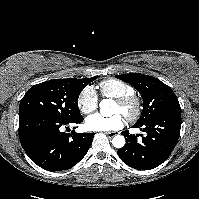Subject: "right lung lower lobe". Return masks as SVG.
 Returning a JSON list of instances; mask_svg holds the SVG:
<instances>
[{"label": "right lung lower lobe", "mask_w": 199, "mask_h": 199, "mask_svg": "<svg viewBox=\"0 0 199 199\" xmlns=\"http://www.w3.org/2000/svg\"><path fill=\"white\" fill-rule=\"evenodd\" d=\"M82 121L83 117L66 122L42 115L21 116L19 117L21 145L29 158L39 167L48 171L69 169L86 155L94 133L72 131L69 134L63 132V127Z\"/></svg>", "instance_id": "1"}]
</instances>
